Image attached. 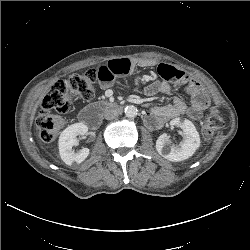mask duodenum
Instances as JSON below:
<instances>
[{
	"mask_svg": "<svg viewBox=\"0 0 250 250\" xmlns=\"http://www.w3.org/2000/svg\"><path fill=\"white\" fill-rule=\"evenodd\" d=\"M121 109L122 106L119 103L100 101L82 110L80 120L85 125L94 129L99 126L101 116L104 112L121 111Z\"/></svg>",
	"mask_w": 250,
	"mask_h": 250,
	"instance_id": "obj_1",
	"label": "duodenum"
}]
</instances>
